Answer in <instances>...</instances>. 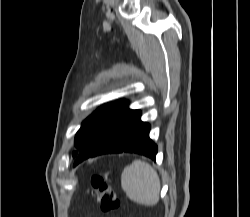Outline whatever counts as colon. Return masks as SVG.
Here are the masks:
<instances>
[{"label": "colon", "instance_id": "5ec220e1", "mask_svg": "<svg viewBox=\"0 0 250 217\" xmlns=\"http://www.w3.org/2000/svg\"><path fill=\"white\" fill-rule=\"evenodd\" d=\"M91 184L92 194L96 196L101 211L106 214L118 213L121 201L115 189L99 175L92 178Z\"/></svg>", "mask_w": 250, "mask_h": 217}]
</instances>
